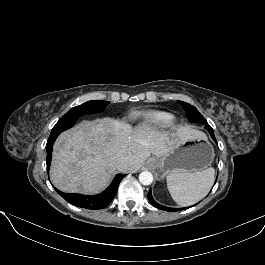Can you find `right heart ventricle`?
Wrapping results in <instances>:
<instances>
[{
  "instance_id": "right-heart-ventricle-1",
  "label": "right heart ventricle",
  "mask_w": 265,
  "mask_h": 265,
  "mask_svg": "<svg viewBox=\"0 0 265 265\" xmlns=\"http://www.w3.org/2000/svg\"><path fill=\"white\" fill-rule=\"evenodd\" d=\"M175 116L167 111H151L144 114L140 125L144 130L163 129L175 122Z\"/></svg>"
}]
</instances>
